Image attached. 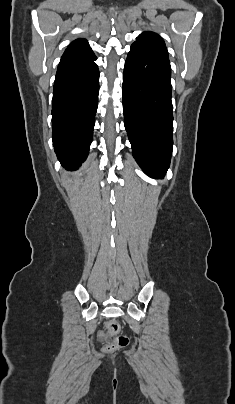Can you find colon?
<instances>
[{
	"mask_svg": "<svg viewBox=\"0 0 235 404\" xmlns=\"http://www.w3.org/2000/svg\"><path fill=\"white\" fill-rule=\"evenodd\" d=\"M107 330L100 334V338L106 342V350L113 352L124 348L129 343V338L126 335L114 336L119 331V324L115 321H108L106 324Z\"/></svg>",
	"mask_w": 235,
	"mask_h": 404,
	"instance_id": "5ec220e1",
	"label": "colon"
}]
</instances>
